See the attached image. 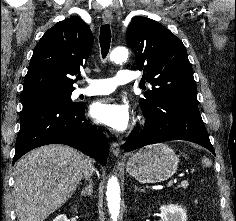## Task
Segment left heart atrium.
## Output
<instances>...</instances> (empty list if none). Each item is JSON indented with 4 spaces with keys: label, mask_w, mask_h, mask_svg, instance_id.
<instances>
[{
    "label": "left heart atrium",
    "mask_w": 236,
    "mask_h": 221,
    "mask_svg": "<svg viewBox=\"0 0 236 221\" xmlns=\"http://www.w3.org/2000/svg\"><path fill=\"white\" fill-rule=\"evenodd\" d=\"M94 119L118 132L127 130L131 124V113L128 106L113 98L96 101L91 109Z\"/></svg>",
    "instance_id": "left-heart-atrium-1"
}]
</instances>
